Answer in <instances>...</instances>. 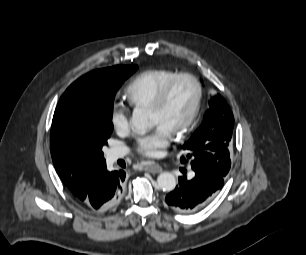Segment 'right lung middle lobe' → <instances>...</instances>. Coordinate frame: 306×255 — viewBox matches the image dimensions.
<instances>
[{
  "label": "right lung middle lobe",
  "mask_w": 306,
  "mask_h": 255,
  "mask_svg": "<svg viewBox=\"0 0 306 255\" xmlns=\"http://www.w3.org/2000/svg\"><path fill=\"white\" fill-rule=\"evenodd\" d=\"M119 65L117 80L90 93H64L54 113L50 150L63 182L75 183L91 168L105 164L102 147L113 131L116 91L137 70Z\"/></svg>",
  "instance_id": "dd1d6c3e"
}]
</instances>
